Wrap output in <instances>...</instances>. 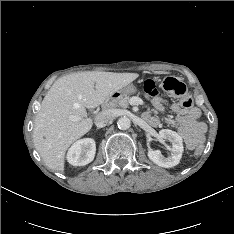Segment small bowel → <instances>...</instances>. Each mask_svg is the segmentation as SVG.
<instances>
[{"label":"small bowel","mask_w":234,"mask_h":234,"mask_svg":"<svg viewBox=\"0 0 234 234\" xmlns=\"http://www.w3.org/2000/svg\"><path fill=\"white\" fill-rule=\"evenodd\" d=\"M152 105L160 112H164L167 101L161 96H151ZM171 110L175 114L174 123L178 127L179 134L185 139L189 148L200 143L204 139L207 130L206 125L199 121L200 110L196 107L186 109L178 104H172ZM144 119L153 127L160 125V118L149 112L144 114Z\"/></svg>","instance_id":"c3829d8e"}]
</instances>
